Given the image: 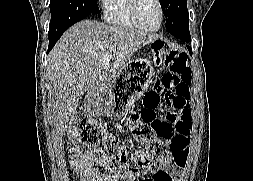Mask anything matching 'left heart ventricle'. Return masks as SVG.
<instances>
[{"label": "left heart ventricle", "instance_id": "obj_1", "mask_svg": "<svg viewBox=\"0 0 253 181\" xmlns=\"http://www.w3.org/2000/svg\"><path fill=\"white\" fill-rule=\"evenodd\" d=\"M138 16L148 28H156L160 23V10L155 0H139Z\"/></svg>", "mask_w": 253, "mask_h": 181}]
</instances>
